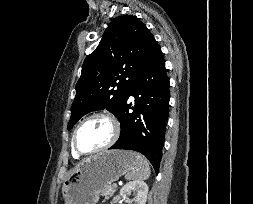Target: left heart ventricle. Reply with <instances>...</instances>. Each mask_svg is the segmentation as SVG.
Here are the masks:
<instances>
[{
	"label": "left heart ventricle",
	"mask_w": 253,
	"mask_h": 204,
	"mask_svg": "<svg viewBox=\"0 0 253 204\" xmlns=\"http://www.w3.org/2000/svg\"><path fill=\"white\" fill-rule=\"evenodd\" d=\"M113 133L111 124L103 118H94L81 126L77 133V146L87 152L105 145Z\"/></svg>",
	"instance_id": "1"
}]
</instances>
